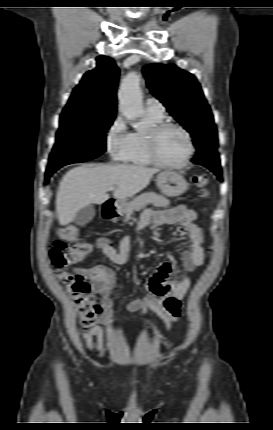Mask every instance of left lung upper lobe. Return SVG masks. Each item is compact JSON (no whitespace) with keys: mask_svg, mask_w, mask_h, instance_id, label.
Segmentation results:
<instances>
[{"mask_svg":"<svg viewBox=\"0 0 273 430\" xmlns=\"http://www.w3.org/2000/svg\"><path fill=\"white\" fill-rule=\"evenodd\" d=\"M152 94L193 137L197 154L216 151L218 137L213 116L193 74L175 65L150 64L143 68Z\"/></svg>","mask_w":273,"mask_h":430,"instance_id":"5c2ea615","label":"left lung upper lobe"}]
</instances>
